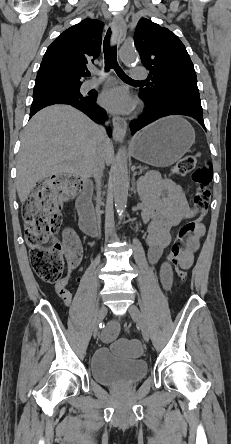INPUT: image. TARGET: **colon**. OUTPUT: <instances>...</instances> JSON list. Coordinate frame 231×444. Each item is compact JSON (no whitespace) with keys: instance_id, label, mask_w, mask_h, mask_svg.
I'll use <instances>...</instances> for the list:
<instances>
[{"instance_id":"colon-1","label":"colon","mask_w":231,"mask_h":444,"mask_svg":"<svg viewBox=\"0 0 231 444\" xmlns=\"http://www.w3.org/2000/svg\"><path fill=\"white\" fill-rule=\"evenodd\" d=\"M198 154L190 153L179 159L172 167V174L183 177L192 175L195 185L194 206L199 216L184 222L171 247L169 258L175 265L176 275L180 280L187 277V269L180 259L186 245V238L193 234L201 216L207 211L210 201L209 184L211 172L205 167H198ZM80 178L57 175L41 181L29 198L24 215L25 239L29 247L33 270L47 283L59 282L65 270H72L81 256L69 251L56 238L61 225L60 209L76 191L80 190ZM115 348H128L132 353L140 351V344L135 340L120 339Z\"/></svg>"}]
</instances>
